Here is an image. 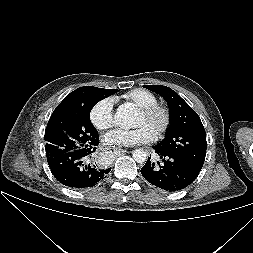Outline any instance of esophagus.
<instances>
[{
    "instance_id": "obj_1",
    "label": "esophagus",
    "mask_w": 253,
    "mask_h": 253,
    "mask_svg": "<svg viewBox=\"0 0 253 253\" xmlns=\"http://www.w3.org/2000/svg\"><path fill=\"white\" fill-rule=\"evenodd\" d=\"M106 150L108 151V153H112V154H120L121 152H123V150L119 147H115V146H109L106 148Z\"/></svg>"
}]
</instances>
